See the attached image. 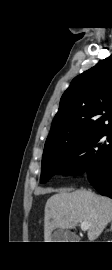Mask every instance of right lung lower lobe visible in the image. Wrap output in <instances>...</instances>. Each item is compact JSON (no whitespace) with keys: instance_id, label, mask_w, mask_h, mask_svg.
Masks as SVG:
<instances>
[{"instance_id":"right-lung-lower-lobe-1","label":"right lung lower lobe","mask_w":112,"mask_h":270,"mask_svg":"<svg viewBox=\"0 0 112 270\" xmlns=\"http://www.w3.org/2000/svg\"><path fill=\"white\" fill-rule=\"evenodd\" d=\"M87 175L90 183L101 195L112 198V149L101 167L96 171L87 172Z\"/></svg>"}]
</instances>
